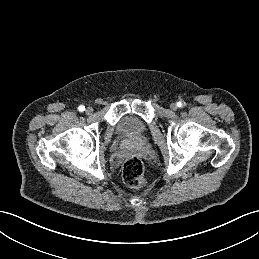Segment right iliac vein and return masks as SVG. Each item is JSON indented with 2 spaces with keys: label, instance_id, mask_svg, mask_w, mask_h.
Segmentation results:
<instances>
[{
  "label": "right iliac vein",
  "instance_id": "right-iliac-vein-1",
  "mask_svg": "<svg viewBox=\"0 0 259 259\" xmlns=\"http://www.w3.org/2000/svg\"><path fill=\"white\" fill-rule=\"evenodd\" d=\"M85 112L86 114L90 115L93 112V109L91 107H87Z\"/></svg>",
  "mask_w": 259,
  "mask_h": 259
}]
</instances>
